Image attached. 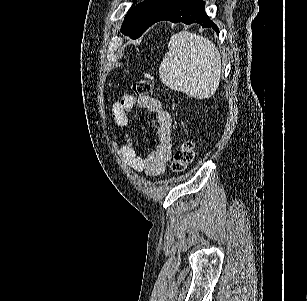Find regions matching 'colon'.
Masks as SVG:
<instances>
[{"instance_id": "obj_1", "label": "colon", "mask_w": 307, "mask_h": 301, "mask_svg": "<svg viewBox=\"0 0 307 301\" xmlns=\"http://www.w3.org/2000/svg\"><path fill=\"white\" fill-rule=\"evenodd\" d=\"M133 91L138 96H146L153 90L151 80L140 78L134 81ZM195 156L194 144L191 141L182 142L176 149L170 168L173 172L180 173L185 171L192 163Z\"/></svg>"}]
</instances>
